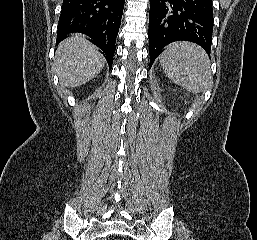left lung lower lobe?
<instances>
[{
  "mask_svg": "<svg viewBox=\"0 0 257 240\" xmlns=\"http://www.w3.org/2000/svg\"><path fill=\"white\" fill-rule=\"evenodd\" d=\"M212 32V0H151L150 67L162 49L175 41L196 43L210 56Z\"/></svg>",
  "mask_w": 257,
  "mask_h": 240,
  "instance_id": "1",
  "label": "left lung lower lobe"
}]
</instances>
